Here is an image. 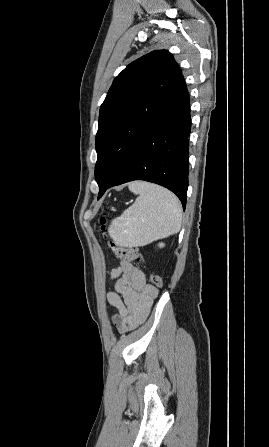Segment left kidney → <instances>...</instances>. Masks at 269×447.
I'll use <instances>...</instances> for the list:
<instances>
[{"mask_svg": "<svg viewBox=\"0 0 269 447\" xmlns=\"http://www.w3.org/2000/svg\"><path fill=\"white\" fill-rule=\"evenodd\" d=\"M164 243H159V247H163Z\"/></svg>", "mask_w": 269, "mask_h": 447, "instance_id": "left-kidney-1", "label": "left kidney"}]
</instances>
